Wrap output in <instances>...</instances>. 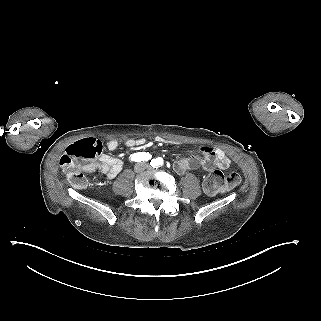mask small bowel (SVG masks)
I'll use <instances>...</instances> for the list:
<instances>
[{"label": "small bowel", "mask_w": 321, "mask_h": 321, "mask_svg": "<svg viewBox=\"0 0 321 321\" xmlns=\"http://www.w3.org/2000/svg\"><path fill=\"white\" fill-rule=\"evenodd\" d=\"M155 141L160 144H178L177 142L169 141L162 137H157ZM145 144L146 140L143 138L128 139L125 142V145L129 148L142 147ZM106 147L110 151H116L119 149V143L116 140H110L106 143ZM123 165V160L108 154H101L97 160L86 162L83 165V169L86 172L99 170L109 179H113L122 170ZM229 165L230 160L222 150L213 147H201L197 153L179 158L175 162V169L179 173L193 169L206 173L213 168L227 169Z\"/></svg>", "instance_id": "c3829d8e"}]
</instances>
